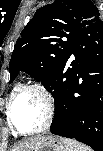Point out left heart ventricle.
<instances>
[{
	"instance_id": "left-heart-ventricle-1",
	"label": "left heart ventricle",
	"mask_w": 103,
	"mask_h": 151,
	"mask_svg": "<svg viewBox=\"0 0 103 151\" xmlns=\"http://www.w3.org/2000/svg\"><path fill=\"white\" fill-rule=\"evenodd\" d=\"M45 109L42 99L34 92H24L15 101L13 119L22 131L38 128L44 121Z\"/></svg>"
}]
</instances>
